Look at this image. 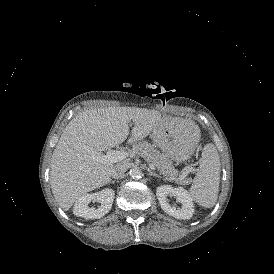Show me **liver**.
I'll use <instances>...</instances> for the list:
<instances>
[{
	"label": "liver",
	"mask_w": 274,
	"mask_h": 274,
	"mask_svg": "<svg viewBox=\"0 0 274 274\" xmlns=\"http://www.w3.org/2000/svg\"><path fill=\"white\" fill-rule=\"evenodd\" d=\"M164 119L158 110L127 106L90 108L77 114L63 130L52 154L50 185L60 207L68 211L78 199L110 182L112 169L120 162H101L95 154L101 155L126 140L129 122L133 127L126 143L134 146L160 129Z\"/></svg>",
	"instance_id": "obj_1"
}]
</instances>
